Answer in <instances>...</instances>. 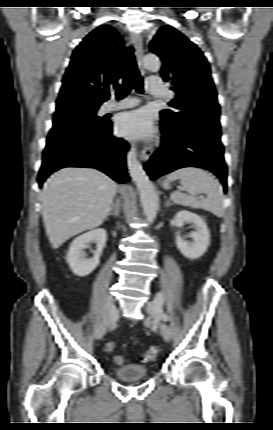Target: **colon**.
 <instances>
[{
  "mask_svg": "<svg viewBox=\"0 0 273 430\" xmlns=\"http://www.w3.org/2000/svg\"><path fill=\"white\" fill-rule=\"evenodd\" d=\"M114 347H115L114 342H109L106 344V350L107 351H112L114 349ZM158 353H159L158 347H151L141 355V359L143 361H153L158 356ZM114 362L117 365H124L125 358L121 355H115L114 356Z\"/></svg>",
  "mask_w": 273,
  "mask_h": 430,
  "instance_id": "colon-1",
  "label": "colon"
}]
</instances>
